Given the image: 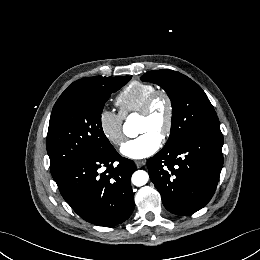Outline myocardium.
Segmentation results:
<instances>
[{"label": "myocardium", "mask_w": 260, "mask_h": 260, "mask_svg": "<svg viewBox=\"0 0 260 260\" xmlns=\"http://www.w3.org/2000/svg\"><path fill=\"white\" fill-rule=\"evenodd\" d=\"M158 98H163L167 104L166 122L160 134L162 139H166L169 137V135L173 130L174 117H175L174 102L171 95L166 90L156 89L152 93H150L143 101L142 106L138 111V113L141 116H148L151 113L154 102Z\"/></svg>", "instance_id": "myocardium-1"}]
</instances>
